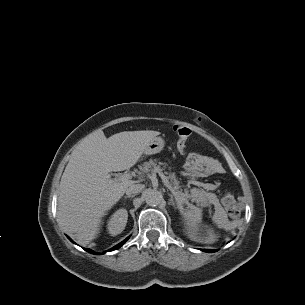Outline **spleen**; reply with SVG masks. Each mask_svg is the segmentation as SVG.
Here are the masks:
<instances>
[{
	"instance_id": "spleen-1",
	"label": "spleen",
	"mask_w": 305,
	"mask_h": 305,
	"mask_svg": "<svg viewBox=\"0 0 305 305\" xmlns=\"http://www.w3.org/2000/svg\"><path fill=\"white\" fill-rule=\"evenodd\" d=\"M180 214L184 222L185 233L191 240L200 241L204 243L215 242L217 236L212 228L207 229L206 237L201 239L198 236L202 226L201 223L203 213L201 208H198L192 204H188L185 209L180 210ZM213 220L216 222L219 228L226 227V220L223 216V212L221 211V209L216 211Z\"/></svg>"
}]
</instances>
